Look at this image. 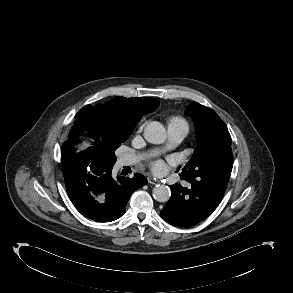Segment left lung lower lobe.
Instances as JSON below:
<instances>
[{
    "label": "left lung lower lobe",
    "instance_id": "obj_1",
    "mask_svg": "<svg viewBox=\"0 0 293 293\" xmlns=\"http://www.w3.org/2000/svg\"><path fill=\"white\" fill-rule=\"evenodd\" d=\"M189 186L171 185V198L160 215L167 222L189 227L211 215L221 202L229 180L228 175L217 172L180 174Z\"/></svg>",
    "mask_w": 293,
    "mask_h": 293
}]
</instances>
